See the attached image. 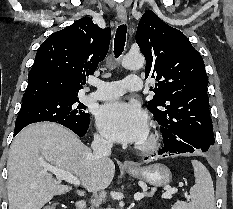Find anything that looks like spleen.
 <instances>
[{"label":"spleen","instance_id":"3e777b00","mask_svg":"<svg viewBox=\"0 0 233 209\" xmlns=\"http://www.w3.org/2000/svg\"><path fill=\"white\" fill-rule=\"evenodd\" d=\"M195 184L190 189V201H178L172 209H215L214 187L207 168L199 161L192 160Z\"/></svg>","mask_w":233,"mask_h":209}]
</instances>
